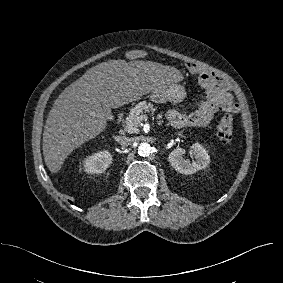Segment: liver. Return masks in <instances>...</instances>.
Returning a JSON list of instances; mask_svg holds the SVG:
<instances>
[{
    "label": "liver",
    "instance_id": "liver-1",
    "mask_svg": "<svg viewBox=\"0 0 283 283\" xmlns=\"http://www.w3.org/2000/svg\"><path fill=\"white\" fill-rule=\"evenodd\" d=\"M181 79L176 68L151 61L109 60L87 70L63 90L46 119L42 145L50 172L107 128L104 108H120Z\"/></svg>",
    "mask_w": 283,
    "mask_h": 283
}]
</instances>
